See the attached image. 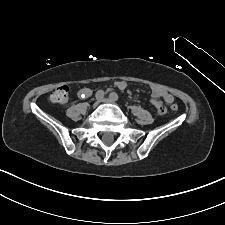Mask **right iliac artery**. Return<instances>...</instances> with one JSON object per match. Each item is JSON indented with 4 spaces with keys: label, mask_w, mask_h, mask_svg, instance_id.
Returning <instances> with one entry per match:
<instances>
[{
    "label": "right iliac artery",
    "mask_w": 225,
    "mask_h": 225,
    "mask_svg": "<svg viewBox=\"0 0 225 225\" xmlns=\"http://www.w3.org/2000/svg\"><path fill=\"white\" fill-rule=\"evenodd\" d=\"M104 94H105V93H104L103 90H98V91L96 92L95 97H96V99H100V100H101V99H103ZM83 97H85V95L82 94V98H83Z\"/></svg>",
    "instance_id": "82829eb1"
}]
</instances>
